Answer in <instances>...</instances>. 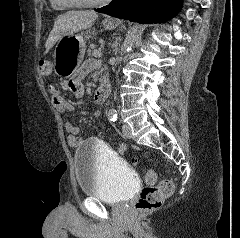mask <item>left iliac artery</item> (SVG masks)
<instances>
[{"mask_svg":"<svg viewBox=\"0 0 240 238\" xmlns=\"http://www.w3.org/2000/svg\"><path fill=\"white\" fill-rule=\"evenodd\" d=\"M117 118H118V117H117L116 114L110 116V120L113 121V122L116 121Z\"/></svg>","mask_w":240,"mask_h":238,"instance_id":"obj_1","label":"left iliac artery"}]
</instances>
